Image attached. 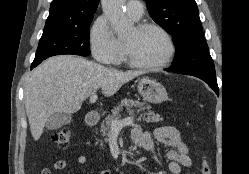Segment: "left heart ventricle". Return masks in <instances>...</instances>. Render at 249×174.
<instances>
[{"label":"left heart ventricle","mask_w":249,"mask_h":174,"mask_svg":"<svg viewBox=\"0 0 249 174\" xmlns=\"http://www.w3.org/2000/svg\"><path fill=\"white\" fill-rule=\"evenodd\" d=\"M123 44L127 55L142 63L161 62L170 52L166 38L154 29L138 32L134 28L123 39Z\"/></svg>","instance_id":"b2bd125f"}]
</instances>
